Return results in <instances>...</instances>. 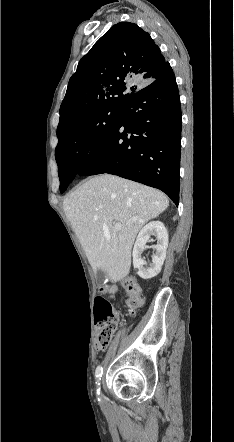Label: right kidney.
Returning <instances> with one entry per match:
<instances>
[{"label":"right kidney","mask_w":234,"mask_h":442,"mask_svg":"<svg viewBox=\"0 0 234 442\" xmlns=\"http://www.w3.org/2000/svg\"><path fill=\"white\" fill-rule=\"evenodd\" d=\"M151 235L156 236L157 244L153 246L155 254L152 257V263L149 265V267H147L145 266V260L142 258V252L147 248L146 243L150 239ZM167 247L168 232L162 222H149L140 230L134 244L132 256L133 266L138 270L137 274L142 279H151L160 272L166 258Z\"/></svg>","instance_id":"1"}]
</instances>
